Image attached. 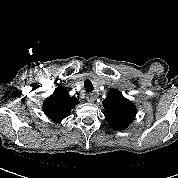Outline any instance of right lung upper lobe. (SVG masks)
<instances>
[{
	"mask_svg": "<svg viewBox=\"0 0 178 178\" xmlns=\"http://www.w3.org/2000/svg\"><path fill=\"white\" fill-rule=\"evenodd\" d=\"M78 104V99L71 97L68 90L58 86L53 94L43 103V111L50 119L61 122L70 115L71 109Z\"/></svg>",
	"mask_w": 178,
	"mask_h": 178,
	"instance_id": "right-lung-upper-lobe-1",
	"label": "right lung upper lobe"
}]
</instances>
